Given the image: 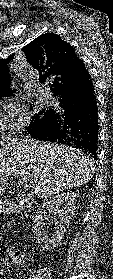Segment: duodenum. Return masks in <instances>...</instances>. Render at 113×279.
<instances>
[{
	"mask_svg": "<svg viewBox=\"0 0 113 279\" xmlns=\"http://www.w3.org/2000/svg\"><path fill=\"white\" fill-rule=\"evenodd\" d=\"M23 216H24V218H25V217L27 216V213H26V211L24 212Z\"/></svg>",
	"mask_w": 113,
	"mask_h": 279,
	"instance_id": "duodenum-1",
	"label": "duodenum"
}]
</instances>
